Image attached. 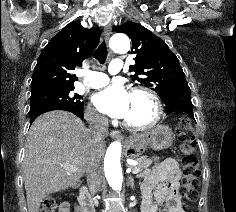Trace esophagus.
Segmentation results:
<instances>
[{
	"instance_id": "1",
	"label": "esophagus",
	"mask_w": 236,
	"mask_h": 212,
	"mask_svg": "<svg viewBox=\"0 0 236 212\" xmlns=\"http://www.w3.org/2000/svg\"><path fill=\"white\" fill-rule=\"evenodd\" d=\"M111 33H112V27L109 24V25L105 26L104 31H103V36H104V39L106 42H108V40L111 36ZM110 136L114 139H122L123 138L122 134L117 130H112L110 132Z\"/></svg>"
}]
</instances>
